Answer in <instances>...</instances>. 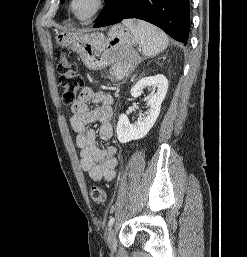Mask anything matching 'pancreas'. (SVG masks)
I'll return each instance as SVG.
<instances>
[{"mask_svg": "<svg viewBox=\"0 0 247 257\" xmlns=\"http://www.w3.org/2000/svg\"><path fill=\"white\" fill-rule=\"evenodd\" d=\"M127 68L126 67H123V66H121V65H119V64H115L113 67H112V69H111V73L113 74V75H118V74H120V75H123V74H125V73H127Z\"/></svg>", "mask_w": 247, "mask_h": 257, "instance_id": "cf45deb5", "label": "pancreas"}]
</instances>
